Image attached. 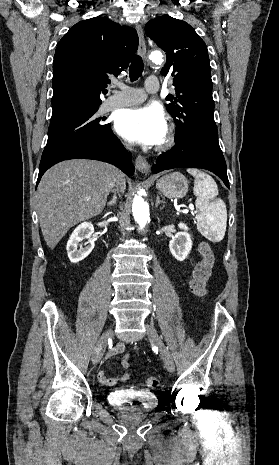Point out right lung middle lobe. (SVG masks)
Masks as SVG:
<instances>
[{
	"mask_svg": "<svg viewBox=\"0 0 279 465\" xmlns=\"http://www.w3.org/2000/svg\"><path fill=\"white\" fill-rule=\"evenodd\" d=\"M98 108L74 116L65 121L50 125L48 141L42 154V159L51 155L63 146L84 137H101L112 132L110 124H104L95 113Z\"/></svg>",
	"mask_w": 279,
	"mask_h": 465,
	"instance_id": "dd1d6c3e",
	"label": "right lung middle lobe"
}]
</instances>
